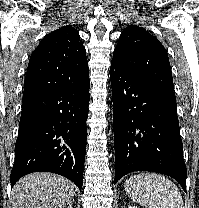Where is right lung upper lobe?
Returning <instances> with one entry per match:
<instances>
[{
	"label": "right lung upper lobe",
	"instance_id": "obj_1",
	"mask_svg": "<svg viewBox=\"0 0 199 208\" xmlns=\"http://www.w3.org/2000/svg\"><path fill=\"white\" fill-rule=\"evenodd\" d=\"M86 51L71 26L46 35L33 51L24 81L23 98L83 83L89 78Z\"/></svg>",
	"mask_w": 199,
	"mask_h": 208
}]
</instances>
